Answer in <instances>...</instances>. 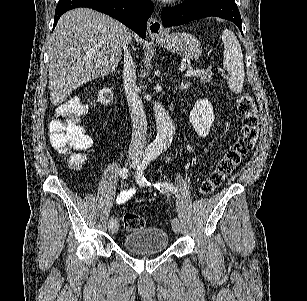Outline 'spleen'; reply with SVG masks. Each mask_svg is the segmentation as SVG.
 Masks as SVG:
<instances>
[{
    "label": "spleen",
    "instance_id": "obj_1",
    "mask_svg": "<svg viewBox=\"0 0 307 301\" xmlns=\"http://www.w3.org/2000/svg\"><path fill=\"white\" fill-rule=\"evenodd\" d=\"M224 44L223 66L229 72L228 86L235 94L242 92L244 84V60L241 44L232 30H222Z\"/></svg>",
    "mask_w": 307,
    "mask_h": 301
}]
</instances>
